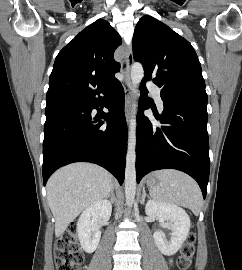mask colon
I'll return each instance as SVG.
<instances>
[{
	"label": "colon",
	"instance_id": "5ec220e1",
	"mask_svg": "<svg viewBox=\"0 0 242 270\" xmlns=\"http://www.w3.org/2000/svg\"><path fill=\"white\" fill-rule=\"evenodd\" d=\"M77 227L70 225L58 239L55 248V261L57 270H77L83 261L77 241ZM195 235L190 233L181 248L177 264L179 270H188L195 252Z\"/></svg>",
	"mask_w": 242,
	"mask_h": 270
}]
</instances>
